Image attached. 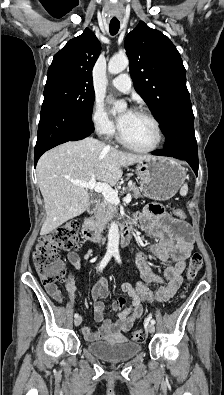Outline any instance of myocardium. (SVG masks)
I'll use <instances>...</instances> for the list:
<instances>
[{"label": "myocardium", "instance_id": "1", "mask_svg": "<svg viewBox=\"0 0 224 395\" xmlns=\"http://www.w3.org/2000/svg\"><path fill=\"white\" fill-rule=\"evenodd\" d=\"M133 112L141 114L143 116H145L146 118H148L154 125L155 130H156V141L153 145L149 146V147H138L135 146L131 143H129L122 135L120 128H118V132H117V140L119 141V143L121 145H123L125 148L135 151V152H139V153H150V152H154L156 151L162 143L163 140V132H162V128L161 125L158 121V119L147 109L144 108H135L133 110Z\"/></svg>", "mask_w": 224, "mask_h": 395}]
</instances>
